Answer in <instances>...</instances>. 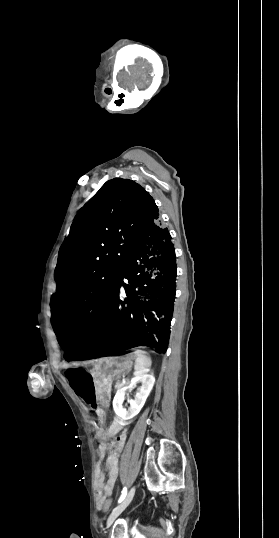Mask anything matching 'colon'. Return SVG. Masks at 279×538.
<instances>
[{
    "instance_id": "obj_1",
    "label": "colon",
    "mask_w": 279,
    "mask_h": 538,
    "mask_svg": "<svg viewBox=\"0 0 279 538\" xmlns=\"http://www.w3.org/2000/svg\"><path fill=\"white\" fill-rule=\"evenodd\" d=\"M111 506H112V501L110 499H107L103 502V504L101 505V508L102 510L107 511L111 508Z\"/></svg>"
}]
</instances>
